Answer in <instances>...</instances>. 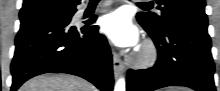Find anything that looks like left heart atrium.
Masks as SVG:
<instances>
[{"instance_id":"obj_1","label":"left heart atrium","mask_w":220,"mask_h":91,"mask_svg":"<svg viewBox=\"0 0 220 91\" xmlns=\"http://www.w3.org/2000/svg\"><path fill=\"white\" fill-rule=\"evenodd\" d=\"M104 34L117 46L135 48L139 43V33L127 11L119 9L102 17Z\"/></svg>"}]
</instances>
